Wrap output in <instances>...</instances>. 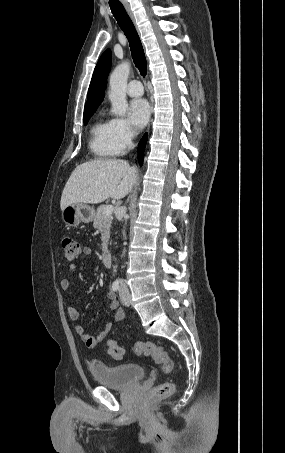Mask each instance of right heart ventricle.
<instances>
[{
    "mask_svg": "<svg viewBox=\"0 0 285 453\" xmlns=\"http://www.w3.org/2000/svg\"><path fill=\"white\" fill-rule=\"evenodd\" d=\"M89 146L91 151L100 158L117 155L110 121L98 118L94 122L90 130Z\"/></svg>",
    "mask_w": 285,
    "mask_h": 453,
    "instance_id": "right-heart-ventricle-1",
    "label": "right heart ventricle"
}]
</instances>
